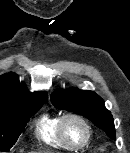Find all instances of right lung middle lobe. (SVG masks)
<instances>
[{"instance_id":"dd1d6c3e","label":"right lung middle lobe","mask_w":130,"mask_h":153,"mask_svg":"<svg viewBox=\"0 0 130 153\" xmlns=\"http://www.w3.org/2000/svg\"><path fill=\"white\" fill-rule=\"evenodd\" d=\"M45 102L28 105L19 110H0V152H7L16 143L24 131L30 117L33 116Z\"/></svg>"}]
</instances>
